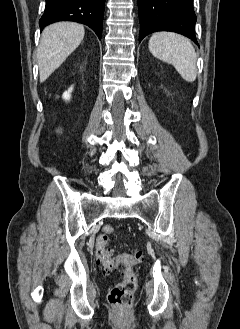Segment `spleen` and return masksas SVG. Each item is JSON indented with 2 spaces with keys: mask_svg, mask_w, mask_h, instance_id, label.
<instances>
[{
  "mask_svg": "<svg viewBox=\"0 0 240 329\" xmlns=\"http://www.w3.org/2000/svg\"><path fill=\"white\" fill-rule=\"evenodd\" d=\"M148 47L155 57L171 63L185 81H195L197 56L187 38L172 32H157L149 39Z\"/></svg>",
  "mask_w": 240,
  "mask_h": 329,
  "instance_id": "3e777b00",
  "label": "spleen"
}]
</instances>
